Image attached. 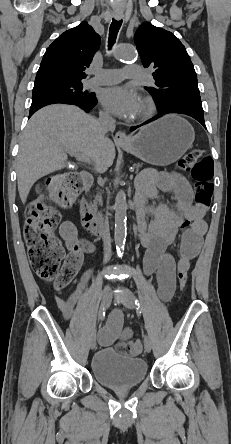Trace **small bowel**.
Here are the masks:
<instances>
[{
  "instance_id": "small-bowel-1",
  "label": "small bowel",
  "mask_w": 231,
  "mask_h": 444,
  "mask_svg": "<svg viewBox=\"0 0 231 444\" xmlns=\"http://www.w3.org/2000/svg\"><path fill=\"white\" fill-rule=\"evenodd\" d=\"M136 188V203L140 208L137 229L140 241L145 248L144 270L148 275L156 274L158 295L162 300L167 301L175 291L176 272L187 271L191 261L200 251L202 237L206 232V223L203 220L206 206L193 204L189 182L175 172H146L138 178ZM158 191L172 194L174 200L172 207L164 203L156 206L147 205L149 200L157 197ZM148 216H152L149 223ZM185 222L190 228L184 235L180 257L176 262L175 258L167 252V248ZM60 235L70 251H80L83 254L92 249L89 243L79 239L77 229L70 221L62 223ZM89 278L90 273H85L72 294L65 298H55L65 320L71 319ZM130 337L131 332L123 327L122 315L119 311L111 314L106 326L99 332V342L103 346L127 340Z\"/></svg>"
}]
</instances>
